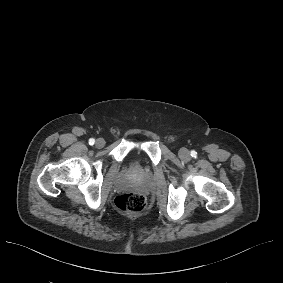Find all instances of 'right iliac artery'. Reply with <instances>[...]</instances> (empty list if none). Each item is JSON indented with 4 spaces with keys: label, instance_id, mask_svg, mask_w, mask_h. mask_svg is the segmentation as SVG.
<instances>
[{
    "label": "right iliac artery",
    "instance_id": "obj_1",
    "mask_svg": "<svg viewBox=\"0 0 283 283\" xmlns=\"http://www.w3.org/2000/svg\"><path fill=\"white\" fill-rule=\"evenodd\" d=\"M95 143V140L93 138L89 139V144L93 145Z\"/></svg>",
    "mask_w": 283,
    "mask_h": 283
}]
</instances>
